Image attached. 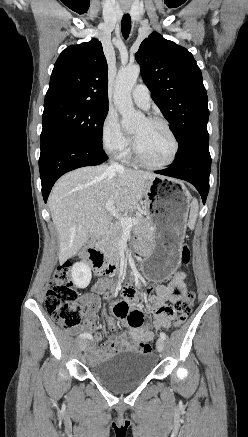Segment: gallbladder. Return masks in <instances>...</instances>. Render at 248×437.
Returning <instances> with one entry per match:
<instances>
[{"instance_id": "bac80fb5", "label": "gallbladder", "mask_w": 248, "mask_h": 437, "mask_svg": "<svg viewBox=\"0 0 248 437\" xmlns=\"http://www.w3.org/2000/svg\"><path fill=\"white\" fill-rule=\"evenodd\" d=\"M92 240H93L92 238H89L87 244H91V243H92Z\"/></svg>"}]
</instances>
